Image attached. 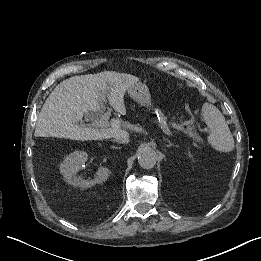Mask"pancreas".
Masks as SVG:
<instances>
[{
	"mask_svg": "<svg viewBox=\"0 0 261 261\" xmlns=\"http://www.w3.org/2000/svg\"><path fill=\"white\" fill-rule=\"evenodd\" d=\"M153 109L155 111H160L161 113H164L166 116H168L169 118H173L177 122L183 123L184 127H186L194 135H197L200 139V134L198 132H196L195 127L192 126V124L189 122V120L187 118H185L184 116H181L180 114H177L176 112H173L172 110L166 109L162 104H155L154 106L152 104H148L147 106H143V107H140L139 109H135L132 112V115L134 117H137L140 114H144L147 111H152Z\"/></svg>",
	"mask_w": 261,
	"mask_h": 261,
	"instance_id": "1",
	"label": "pancreas"
}]
</instances>
